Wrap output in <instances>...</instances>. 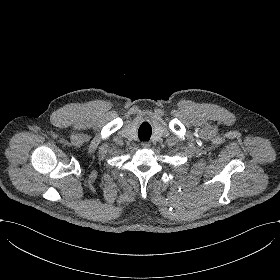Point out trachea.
<instances>
[{
  "mask_svg": "<svg viewBox=\"0 0 280 280\" xmlns=\"http://www.w3.org/2000/svg\"><path fill=\"white\" fill-rule=\"evenodd\" d=\"M138 135H139L140 140L148 141L150 136H151V127H150V125L147 126L146 123L142 124L139 127Z\"/></svg>",
  "mask_w": 280,
  "mask_h": 280,
  "instance_id": "1",
  "label": "trachea"
}]
</instances>
